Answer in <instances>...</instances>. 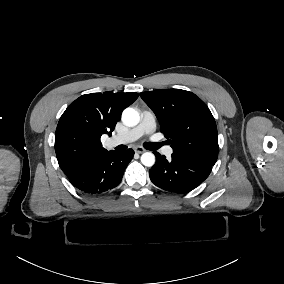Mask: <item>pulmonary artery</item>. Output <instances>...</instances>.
I'll return each instance as SVG.
<instances>
[{
	"instance_id": "pulmonary-artery-1",
	"label": "pulmonary artery",
	"mask_w": 284,
	"mask_h": 284,
	"mask_svg": "<svg viewBox=\"0 0 284 284\" xmlns=\"http://www.w3.org/2000/svg\"><path fill=\"white\" fill-rule=\"evenodd\" d=\"M156 120L153 114L148 111L142 113L139 124L123 133L113 135L108 139L111 145H120L133 142L142 136L155 130Z\"/></svg>"
}]
</instances>
